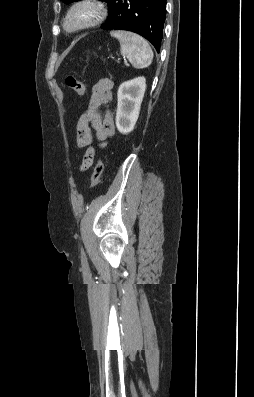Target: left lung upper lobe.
<instances>
[{
  "label": "left lung upper lobe",
  "instance_id": "obj_1",
  "mask_svg": "<svg viewBox=\"0 0 254 397\" xmlns=\"http://www.w3.org/2000/svg\"><path fill=\"white\" fill-rule=\"evenodd\" d=\"M74 1H79V0H62L65 4L74 2ZM100 1H105L108 5L111 3L112 0H100Z\"/></svg>",
  "mask_w": 254,
  "mask_h": 397
}]
</instances>
